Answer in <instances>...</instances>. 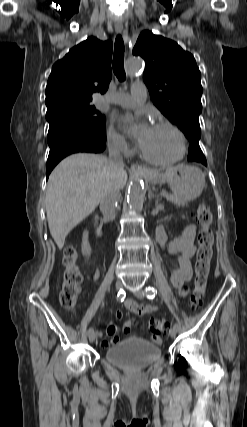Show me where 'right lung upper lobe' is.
<instances>
[{
  "instance_id": "1",
  "label": "right lung upper lobe",
  "mask_w": 247,
  "mask_h": 427,
  "mask_svg": "<svg viewBox=\"0 0 247 427\" xmlns=\"http://www.w3.org/2000/svg\"><path fill=\"white\" fill-rule=\"evenodd\" d=\"M112 43L89 37L57 61L46 87L47 113L66 106L90 105L92 94L104 93L112 77Z\"/></svg>"
}]
</instances>
